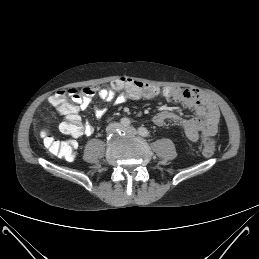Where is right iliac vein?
Here are the masks:
<instances>
[{
	"instance_id": "63e3f726",
	"label": "right iliac vein",
	"mask_w": 259,
	"mask_h": 259,
	"mask_svg": "<svg viewBox=\"0 0 259 259\" xmlns=\"http://www.w3.org/2000/svg\"><path fill=\"white\" fill-rule=\"evenodd\" d=\"M120 127H121L120 124H118V123H112V124H110V125L107 127V132H112V131H114V130H116V129H119Z\"/></svg>"
}]
</instances>
